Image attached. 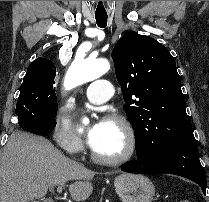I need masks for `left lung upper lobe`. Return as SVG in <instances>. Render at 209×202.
I'll return each mask as SVG.
<instances>
[{
	"label": "left lung upper lobe",
	"mask_w": 209,
	"mask_h": 202,
	"mask_svg": "<svg viewBox=\"0 0 209 202\" xmlns=\"http://www.w3.org/2000/svg\"><path fill=\"white\" fill-rule=\"evenodd\" d=\"M126 115L135 132V148L157 156L193 135L176 63L155 39L126 33L112 51Z\"/></svg>",
	"instance_id": "5c2ea615"
}]
</instances>
